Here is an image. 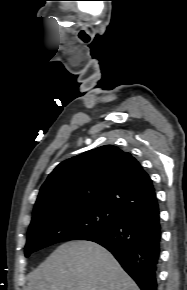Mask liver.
Masks as SVG:
<instances>
[{"instance_id":"obj_1","label":"liver","mask_w":187,"mask_h":290,"mask_svg":"<svg viewBox=\"0 0 187 290\" xmlns=\"http://www.w3.org/2000/svg\"><path fill=\"white\" fill-rule=\"evenodd\" d=\"M26 290H140L104 247L90 241L60 245L28 275Z\"/></svg>"}]
</instances>
